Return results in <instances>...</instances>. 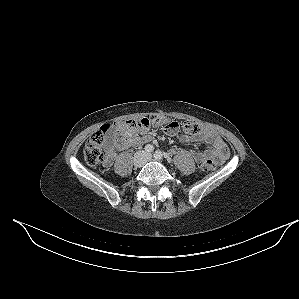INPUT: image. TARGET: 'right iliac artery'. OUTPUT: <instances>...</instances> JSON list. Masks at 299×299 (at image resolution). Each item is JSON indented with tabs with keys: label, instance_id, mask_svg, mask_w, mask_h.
<instances>
[{
	"label": "right iliac artery",
	"instance_id": "right-iliac-artery-1",
	"mask_svg": "<svg viewBox=\"0 0 299 299\" xmlns=\"http://www.w3.org/2000/svg\"><path fill=\"white\" fill-rule=\"evenodd\" d=\"M153 150H154L153 145L148 144V145L145 146V151L146 152L151 153V152H153Z\"/></svg>",
	"mask_w": 299,
	"mask_h": 299
}]
</instances>
